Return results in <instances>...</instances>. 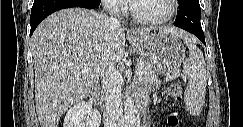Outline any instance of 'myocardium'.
I'll list each match as a JSON object with an SVG mask.
<instances>
[{
	"instance_id": "f54148a6",
	"label": "myocardium",
	"mask_w": 243,
	"mask_h": 127,
	"mask_svg": "<svg viewBox=\"0 0 243 127\" xmlns=\"http://www.w3.org/2000/svg\"><path fill=\"white\" fill-rule=\"evenodd\" d=\"M167 1L169 4V11L165 16L162 17L146 18L138 15L137 12L135 11V6H134L135 1L129 2L128 11L131 17L139 23L151 24V25L163 24L170 21L177 13V0H167Z\"/></svg>"
}]
</instances>
